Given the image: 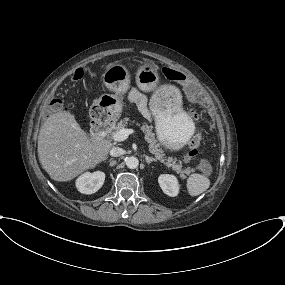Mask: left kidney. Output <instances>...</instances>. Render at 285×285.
Returning <instances> with one entry per match:
<instances>
[{
    "instance_id": "1",
    "label": "left kidney",
    "mask_w": 285,
    "mask_h": 285,
    "mask_svg": "<svg viewBox=\"0 0 285 285\" xmlns=\"http://www.w3.org/2000/svg\"><path fill=\"white\" fill-rule=\"evenodd\" d=\"M159 185L168 196L175 197L179 193L178 180L174 175L162 174L158 178Z\"/></svg>"
}]
</instances>
